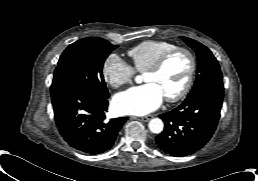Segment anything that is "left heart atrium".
<instances>
[{
	"label": "left heart atrium",
	"instance_id": "left-heart-atrium-1",
	"mask_svg": "<svg viewBox=\"0 0 258 181\" xmlns=\"http://www.w3.org/2000/svg\"><path fill=\"white\" fill-rule=\"evenodd\" d=\"M164 97L156 84L147 83L116 94L114 109L125 115H145L156 110Z\"/></svg>",
	"mask_w": 258,
	"mask_h": 181
}]
</instances>
